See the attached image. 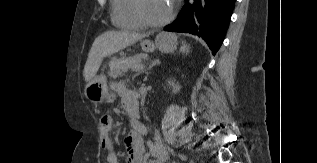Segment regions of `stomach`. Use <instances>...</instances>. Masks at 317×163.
<instances>
[{"instance_id": "0dacf381", "label": "stomach", "mask_w": 317, "mask_h": 163, "mask_svg": "<svg viewBox=\"0 0 317 163\" xmlns=\"http://www.w3.org/2000/svg\"><path fill=\"white\" fill-rule=\"evenodd\" d=\"M177 38L172 33L161 32L155 41L144 40L141 47L144 52H152L159 49L162 52L169 53L176 49ZM85 96L93 103H101L108 96L107 79L104 75L95 76L85 87Z\"/></svg>"}]
</instances>
